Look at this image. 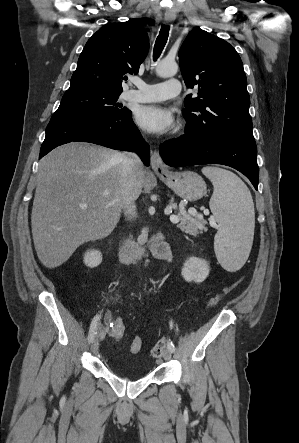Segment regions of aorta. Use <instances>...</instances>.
Segmentation results:
<instances>
[{
  "label": "aorta",
  "mask_w": 299,
  "mask_h": 443,
  "mask_svg": "<svg viewBox=\"0 0 299 443\" xmlns=\"http://www.w3.org/2000/svg\"><path fill=\"white\" fill-rule=\"evenodd\" d=\"M178 72V65L175 61L162 60L156 65V74L159 77H172Z\"/></svg>",
  "instance_id": "762f6f07"
}]
</instances>
